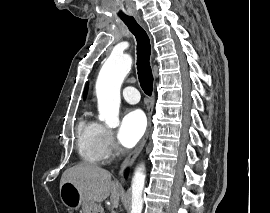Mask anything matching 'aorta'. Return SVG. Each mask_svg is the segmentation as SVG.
Segmentation results:
<instances>
[{"mask_svg":"<svg viewBox=\"0 0 270 213\" xmlns=\"http://www.w3.org/2000/svg\"><path fill=\"white\" fill-rule=\"evenodd\" d=\"M131 66L130 55L112 53L99 72L96 82L99 118L110 127L119 124L120 88ZM145 177V167L141 164L136 168L132 179L130 213L142 212Z\"/></svg>","mask_w":270,"mask_h":213,"instance_id":"762f6f07","label":"aorta"}]
</instances>
